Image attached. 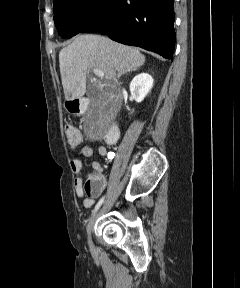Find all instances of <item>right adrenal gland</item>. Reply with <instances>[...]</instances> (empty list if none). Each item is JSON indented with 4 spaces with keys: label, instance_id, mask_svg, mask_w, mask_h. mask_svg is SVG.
<instances>
[{
    "label": "right adrenal gland",
    "instance_id": "right-adrenal-gland-1",
    "mask_svg": "<svg viewBox=\"0 0 240 288\" xmlns=\"http://www.w3.org/2000/svg\"><path fill=\"white\" fill-rule=\"evenodd\" d=\"M136 70H137V68H134V69H130V70H127V71H125V72H122V73H118V77H120V76H122V75H124V74L130 73V72H132V71H136Z\"/></svg>",
    "mask_w": 240,
    "mask_h": 288
}]
</instances>
